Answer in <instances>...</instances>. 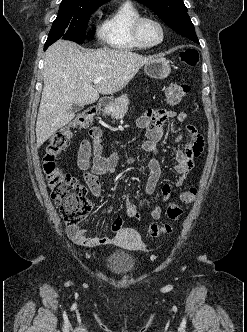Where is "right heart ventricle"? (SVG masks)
I'll return each instance as SVG.
<instances>
[{
	"mask_svg": "<svg viewBox=\"0 0 247 332\" xmlns=\"http://www.w3.org/2000/svg\"><path fill=\"white\" fill-rule=\"evenodd\" d=\"M140 16L142 12L132 1H123L104 21L100 31L101 40L118 50H142L143 47L137 43L132 33L133 23Z\"/></svg>",
	"mask_w": 247,
	"mask_h": 332,
	"instance_id": "obj_1",
	"label": "right heart ventricle"
}]
</instances>
